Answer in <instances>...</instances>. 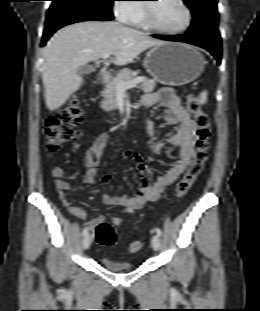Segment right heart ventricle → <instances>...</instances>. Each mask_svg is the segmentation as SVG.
I'll return each mask as SVG.
<instances>
[{
    "mask_svg": "<svg viewBox=\"0 0 260 311\" xmlns=\"http://www.w3.org/2000/svg\"><path fill=\"white\" fill-rule=\"evenodd\" d=\"M137 7H138L137 13L135 14L130 23L138 27L147 28L148 26L144 18L143 5L138 4Z\"/></svg>",
    "mask_w": 260,
    "mask_h": 311,
    "instance_id": "obj_1",
    "label": "right heart ventricle"
}]
</instances>
